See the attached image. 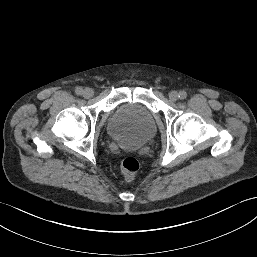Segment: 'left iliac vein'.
Wrapping results in <instances>:
<instances>
[{
    "label": "left iliac vein",
    "mask_w": 257,
    "mask_h": 257,
    "mask_svg": "<svg viewBox=\"0 0 257 257\" xmlns=\"http://www.w3.org/2000/svg\"><path fill=\"white\" fill-rule=\"evenodd\" d=\"M178 98H179V94H178L177 91H171V92L169 93V99H170L171 101H176Z\"/></svg>",
    "instance_id": "4c4485c4"
}]
</instances>
